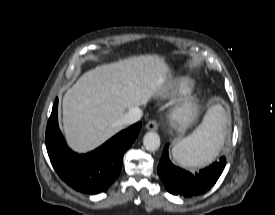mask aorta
Returning a JSON list of instances; mask_svg holds the SVG:
<instances>
[{
  "instance_id": "aorta-1",
  "label": "aorta",
  "mask_w": 275,
  "mask_h": 215,
  "mask_svg": "<svg viewBox=\"0 0 275 215\" xmlns=\"http://www.w3.org/2000/svg\"><path fill=\"white\" fill-rule=\"evenodd\" d=\"M143 144L149 151H155L160 147V137L156 132H148L143 138Z\"/></svg>"
}]
</instances>
